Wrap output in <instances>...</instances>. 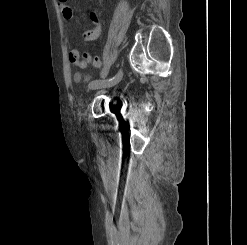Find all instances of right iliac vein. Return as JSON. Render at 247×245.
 Segmentation results:
<instances>
[{
    "label": "right iliac vein",
    "mask_w": 247,
    "mask_h": 245,
    "mask_svg": "<svg viewBox=\"0 0 247 245\" xmlns=\"http://www.w3.org/2000/svg\"><path fill=\"white\" fill-rule=\"evenodd\" d=\"M122 78V71L120 70L113 78L107 79V81L101 82L99 80V86L98 87H92V89H101V88H110L117 84Z\"/></svg>",
    "instance_id": "1"
}]
</instances>
